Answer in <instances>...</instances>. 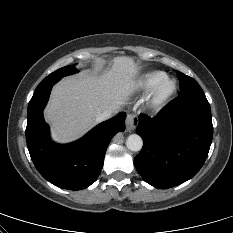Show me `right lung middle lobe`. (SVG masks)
<instances>
[{
  "label": "right lung middle lobe",
  "mask_w": 233,
  "mask_h": 233,
  "mask_svg": "<svg viewBox=\"0 0 233 233\" xmlns=\"http://www.w3.org/2000/svg\"><path fill=\"white\" fill-rule=\"evenodd\" d=\"M78 70L74 66H65L56 70L55 72L49 74L46 78L42 80V82L37 86L35 92L40 91L49 86H53L56 82H58L62 77L70 74L77 73Z\"/></svg>",
  "instance_id": "obj_1"
}]
</instances>
